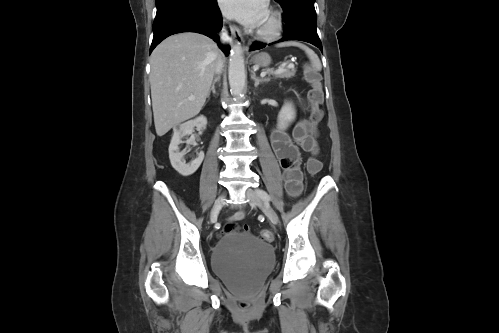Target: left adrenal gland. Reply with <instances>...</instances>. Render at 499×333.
<instances>
[{
	"mask_svg": "<svg viewBox=\"0 0 499 333\" xmlns=\"http://www.w3.org/2000/svg\"><path fill=\"white\" fill-rule=\"evenodd\" d=\"M251 79H252V80H254V82H255V83H254V86H255V87H258V85H259L260 83H265V82H267V81H268L267 79H263V78H258V77H256V74H255L254 72H252V74H251Z\"/></svg>",
	"mask_w": 499,
	"mask_h": 333,
	"instance_id": "1",
	"label": "left adrenal gland"
}]
</instances>
